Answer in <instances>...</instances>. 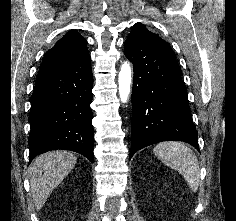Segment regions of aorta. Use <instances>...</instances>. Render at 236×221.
Instances as JSON below:
<instances>
[{
    "instance_id": "aorta-1",
    "label": "aorta",
    "mask_w": 236,
    "mask_h": 221,
    "mask_svg": "<svg viewBox=\"0 0 236 221\" xmlns=\"http://www.w3.org/2000/svg\"><path fill=\"white\" fill-rule=\"evenodd\" d=\"M131 75L132 70L130 64L128 62H125L121 66L118 76L119 96L122 103H126L130 95Z\"/></svg>"
}]
</instances>
